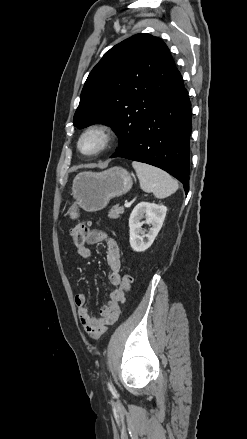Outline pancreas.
Instances as JSON below:
<instances>
[{
	"instance_id": "pancreas-1",
	"label": "pancreas",
	"mask_w": 247,
	"mask_h": 439,
	"mask_svg": "<svg viewBox=\"0 0 247 439\" xmlns=\"http://www.w3.org/2000/svg\"><path fill=\"white\" fill-rule=\"evenodd\" d=\"M124 213V208L119 207L118 205L113 206V208L109 211V218L118 219L121 214Z\"/></svg>"
}]
</instances>
